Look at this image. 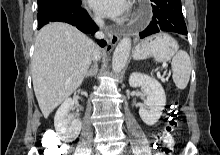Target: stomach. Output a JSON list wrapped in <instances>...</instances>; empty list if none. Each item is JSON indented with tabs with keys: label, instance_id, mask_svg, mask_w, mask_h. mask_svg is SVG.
<instances>
[{
	"label": "stomach",
	"instance_id": "obj_1",
	"mask_svg": "<svg viewBox=\"0 0 220 155\" xmlns=\"http://www.w3.org/2000/svg\"><path fill=\"white\" fill-rule=\"evenodd\" d=\"M179 46L169 34L160 32L143 40L135 49L136 59L155 58L158 62L169 61L177 52Z\"/></svg>",
	"mask_w": 220,
	"mask_h": 155
}]
</instances>
